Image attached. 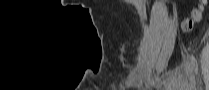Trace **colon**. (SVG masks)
Here are the masks:
<instances>
[{
  "instance_id": "5ec220e1",
  "label": "colon",
  "mask_w": 209,
  "mask_h": 90,
  "mask_svg": "<svg viewBox=\"0 0 209 90\" xmlns=\"http://www.w3.org/2000/svg\"><path fill=\"white\" fill-rule=\"evenodd\" d=\"M206 3L207 1H201V4L197 8H195L191 12V15L183 22L182 28L184 31H191L194 25L202 20Z\"/></svg>"
}]
</instances>
